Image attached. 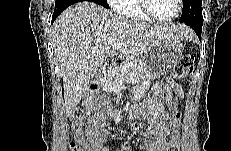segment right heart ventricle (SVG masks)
Wrapping results in <instances>:
<instances>
[{"label": "right heart ventricle", "mask_w": 231, "mask_h": 151, "mask_svg": "<svg viewBox=\"0 0 231 151\" xmlns=\"http://www.w3.org/2000/svg\"><path fill=\"white\" fill-rule=\"evenodd\" d=\"M118 11L134 21H146L142 15L137 0H124L121 2Z\"/></svg>", "instance_id": "1"}]
</instances>
